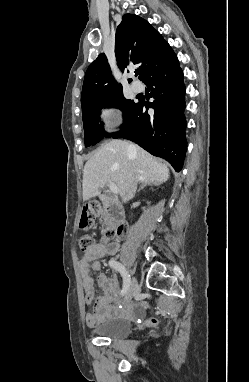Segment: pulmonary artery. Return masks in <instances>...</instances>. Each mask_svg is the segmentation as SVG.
<instances>
[{"label": "pulmonary artery", "mask_w": 249, "mask_h": 382, "mask_svg": "<svg viewBox=\"0 0 249 382\" xmlns=\"http://www.w3.org/2000/svg\"><path fill=\"white\" fill-rule=\"evenodd\" d=\"M132 88L135 90V91H140L142 89V83L139 82V81H133L132 82Z\"/></svg>", "instance_id": "obj_1"}]
</instances>
